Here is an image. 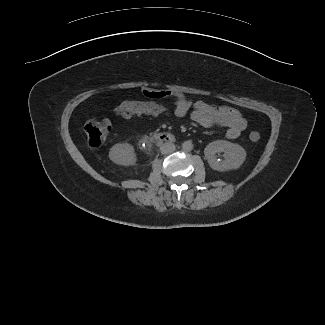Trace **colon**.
<instances>
[{
  "mask_svg": "<svg viewBox=\"0 0 325 325\" xmlns=\"http://www.w3.org/2000/svg\"><path fill=\"white\" fill-rule=\"evenodd\" d=\"M116 112L123 118H131L134 115L175 116L176 106L154 100L126 101L116 108ZM110 131L111 123L106 119H90L84 126L88 145L93 150H100L103 147ZM260 137V134L256 131L251 132L249 135L252 142H258Z\"/></svg>",
  "mask_w": 325,
  "mask_h": 325,
  "instance_id": "colon-1",
  "label": "colon"
}]
</instances>
